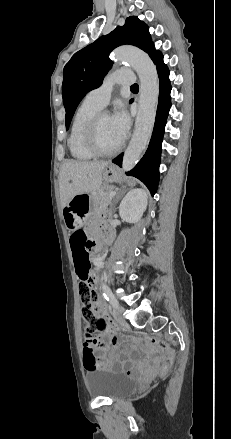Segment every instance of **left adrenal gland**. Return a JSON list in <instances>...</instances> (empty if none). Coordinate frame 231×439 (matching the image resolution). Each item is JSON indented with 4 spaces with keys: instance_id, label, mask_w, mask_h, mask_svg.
Here are the masks:
<instances>
[{
    "instance_id": "a2214340",
    "label": "left adrenal gland",
    "mask_w": 231,
    "mask_h": 439,
    "mask_svg": "<svg viewBox=\"0 0 231 439\" xmlns=\"http://www.w3.org/2000/svg\"><path fill=\"white\" fill-rule=\"evenodd\" d=\"M125 191H126V189H122V190L118 191V193H117V195H116V198H115V200L113 201V204H112V207L114 208V210H115V206H114V204L120 199V197L122 196V194H123Z\"/></svg>"
}]
</instances>
